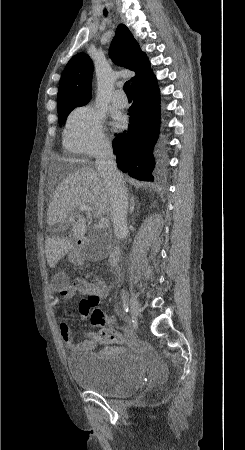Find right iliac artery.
Returning <instances> with one entry per match:
<instances>
[{
	"label": "right iliac artery",
	"mask_w": 245,
	"mask_h": 450,
	"mask_svg": "<svg viewBox=\"0 0 245 450\" xmlns=\"http://www.w3.org/2000/svg\"><path fill=\"white\" fill-rule=\"evenodd\" d=\"M123 309H124V311H125L126 313L129 312L128 305H127L125 302L123 303Z\"/></svg>",
	"instance_id": "obj_1"
}]
</instances>
